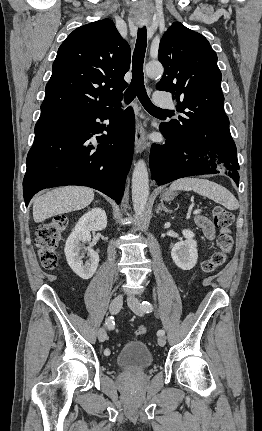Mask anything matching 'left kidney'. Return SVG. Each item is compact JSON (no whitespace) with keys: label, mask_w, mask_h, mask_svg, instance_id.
<instances>
[{"label":"left kidney","mask_w":262,"mask_h":431,"mask_svg":"<svg viewBox=\"0 0 262 431\" xmlns=\"http://www.w3.org/2000/svg\"><path fill=\"white\" fill-rule=\"evenodd\" d=\"M186 240L177 242L172 250L171 257L174 263L182 270L192 269L198 259L197 242L193 239L194 233L185 229L182 231Z\"/></svg>","instance_id":"obj_1"}]
</instances>
